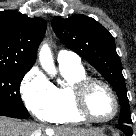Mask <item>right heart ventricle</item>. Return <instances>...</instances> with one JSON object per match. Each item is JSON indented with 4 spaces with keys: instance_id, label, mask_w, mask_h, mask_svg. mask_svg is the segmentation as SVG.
Returning <instances> with one entry per match:
<instances>
[{
    "instance_id": "1",
    "label": "right heart ventricle",
    "mask_w": 136,
    "mask_h": 136,
    "mask_svg": "<svg viewBox=\"0 0 136 136\" xmlns=\"http://www.w3.org/2000/svg\"><path fill=\"white\" fill-rule=\"evenodd\" d=\"M60 70L66 85L54 86L55 106L45 120L52 123H81L84 119L75 110L72 87L87 75L81 65H60Z\"/></svg>"
}]
</instances>
